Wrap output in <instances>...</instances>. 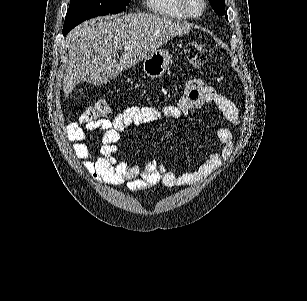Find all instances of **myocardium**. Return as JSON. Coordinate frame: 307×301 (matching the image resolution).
<instances>
[{
	"label": "myocardium",
	"instance_id": "f54148a6",
	"mask_svg": "<svg viewBox=\"0 0 307 301\" xmlns=\"http://www.w3.org/2000/svg\"><path fill=\"white\" fill-rule=\"evenodd\" d=\"M206 4L205 0H195V2L191 0H180L178 6L181 7L180 11L183 17H188L189 22H196L197 16L201 15V12L204 10L203 7Z\"/></svg>",
	"mask_w": 307,
	"mask_h": 301
}]
</instances>
